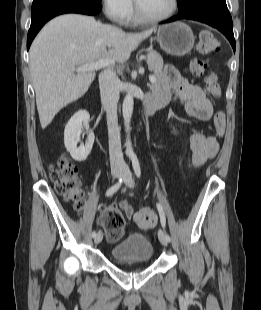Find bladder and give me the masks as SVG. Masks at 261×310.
Listing matches in <instances>:
<instances>
[{
  "label": "bladder",
  "mask_w": 261,
  "mask_h": 310,
  "mask_svg": "<svg viewBox=\"0 0 261 310\" xmlns=\"http://www.w3.org/2000/svg\"><path fill=\"white\" fill-rule=\"evenodd\" d=\"M153 253L152 243L145 234L139 232L128 234L111 249L112 258L122 262H147Z\"/></svg>",
  "instance_id": "31cf9c89"
}]
</instances>
